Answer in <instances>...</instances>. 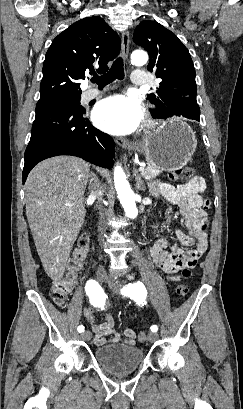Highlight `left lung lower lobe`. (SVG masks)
<instances>
[{
  "instance_id": "0a47b994",
  "label": "left lung lower lobe",
  "mask_w": 243,
  "mask_h": 409,
  "mask_svg": "<svg viewBox=\"0 0 243 409\" xmlns=\"http://www.w3.org/2000/svg\"><path fill=\"white\" fill-rule=\"evenodd\" d=\"M167 114H168V117L174 116V115H178V116H179V111H178V110H176V111H170V112L167 113ZM182 116H184V115H182ZM184 117L189 118V119H195V120H198V121H199L200 113H199V114H198V113H195V114H185Z\"/></svg>"
}]
</instances>
